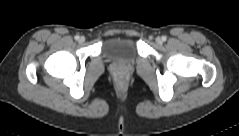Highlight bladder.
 <instances>
[{"mask_svg":"<svg viewBox=\"0 0 239 136\" xmlns=\"http://www.w3.org/2000/svg\"><path fill=\"white\" fill-rule=\"evenodd\" d=\"M102 52L106 59L130 62L137 58L138 44L130 36H112L105 40Z\"/></svg>","mask_w":239,"mask_h":136,"instance_id":"31cf9c89","label":"bladder"}]
</instances>
